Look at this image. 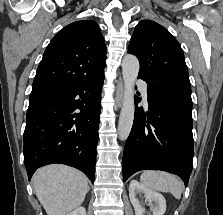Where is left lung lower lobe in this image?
Masks as SVG:
<instances>
[{
    "label": "left lung lower lobe",
    "instance_id": "1",
    "mask_svg": "<svg viewBox=\"0 0 223 215\" xmlns=\"http://www.w3.org/2000/svg\"><path fill=\"white\" fill-rule=\"evenodd\" d=\"M147 98V112L135 109L123 154V181L137 171L151 169L177 174L187 186L194 156L192 101L150 85Z\"/></svg>",
    "mask_w": 223,
    "mask_h": 215
}]
</instances>
